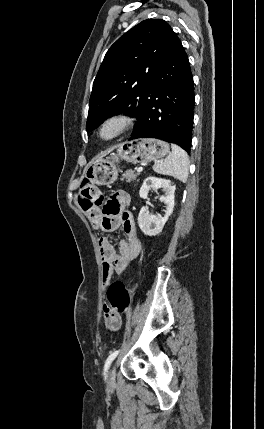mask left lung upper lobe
Here are the masks:
<instances>
[{
  "label": "left lung upper lobe",
  "instance_id": "left-lung-upper-lobe-1",
  "mask_svg": "<svg viewBox=\"0 0 264 429\" xmlns=\"http://www.w3.org/2000/svg\"><path fill=\"white\" fill-rule=\"evenodd\" d=\"M171 33L172 28L164 20L147 19L109 48L93 83L87 132L120 113L140 119Z\"/></svg>",
  "mask_w": 264,
  "mask_h": 429
}]
</instances>
